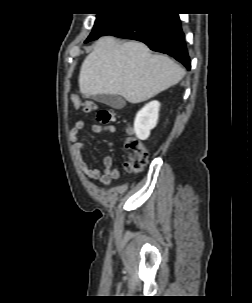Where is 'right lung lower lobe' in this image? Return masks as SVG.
Returning a JSON list of instances; mask_svg holds the SVG:
<instances>
[{
    "label": "right lung lower lobe",
    "mask_w": 252,
    "mask_h": 303,
    "mask_svg": "<svg viewBox=\"0 0 252 303\" xmlns=\"http://www.w3.org/2000/svg\"><path fill=\"white\" fill-rule=\"evenodd\" d=\"M141 41L157 52L168 54L191 68L184 33L177 14L157 11H129L118 19L102 35Z\"/></svg>",
    "instance_id": "1"
}]
</instances>
